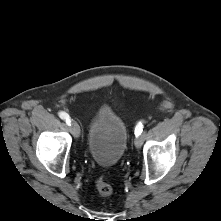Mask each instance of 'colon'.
Masks as SVG:
<instances>
[{
  "label": "colon",
  "instance_id": "obj_1",
  "mask_svg": "<svg viewBox=\"0 0 221 221\" xmlns=\"http://www.w3.org/2000/svg\"><path fill=\"white\" fill-rule=\"evenodd\" d=\"M97 192L102 196H109L113 193L114 188L105 178L100 177L95 183Z\"/></svg>",
  "mask_w": 221,
  "mask_h": 221
}]
</instances>
